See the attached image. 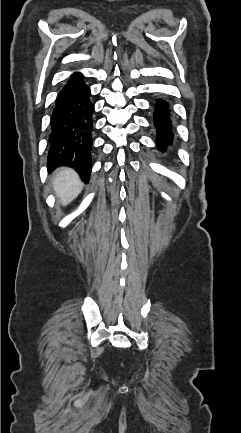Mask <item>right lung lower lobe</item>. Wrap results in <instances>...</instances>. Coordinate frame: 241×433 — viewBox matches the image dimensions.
Returning <instances> with one entry per match:
<instances>
[{"instance_id":"1","label":"right lung lower lobe","mask_w":241,"mask_h":433,"mask_svg":"<svg viewBox=\"0 0 241 433\" xmlns=\"http://www.w3.org/2000/svg\"><path fill=\"white\" fill-rule=\"evenodd\" d=\"M81 73H74L59 92L51 116L48 169L74 167L87 181L91 172L94 105ZM51 149H55L51 152Z\"/></svg>"}]
</instances>
